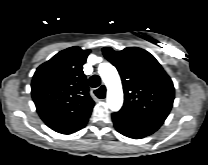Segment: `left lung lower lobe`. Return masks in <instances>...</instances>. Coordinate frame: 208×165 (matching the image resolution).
Here are the masks:
<instances>
[{
	"mask_svg": "<svg viewBox=\"0 0 208 165\" xmlns=\"http://www.w3.org/2000/svg\"><path fill=\"white\" fill-rule=\"evenodd\" d=\"M114 126L118 132L133 139H141L154 133L163 123L139 119L121 112L112 114Z\"/></svg>",
	"mask_w": 208,
	"mask_h": 165,
	"instance_id": "left-lung-lower-lobe-1",
	"label": "left lung lower lobe"
}]
</instances>
